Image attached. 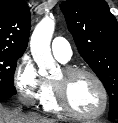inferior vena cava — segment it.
Instances as JSON below:
<instances>
[{
    "label": "inferior vena cava",
    "mask_w": 118,
    "mask_h": 123,
    "mask_svg": "<svg viewBox=\"0 0 118 123\" xmlns=\"http://www.w3.org/2000/svg\"><path fill=\"white\" fill-rule=\"evenodd\" d=\"M28 115L31 116V117H36L37 116V114L35 112H29Z\"/></svg>",
    "instance_id": "obj_1"
}]
</instances>
